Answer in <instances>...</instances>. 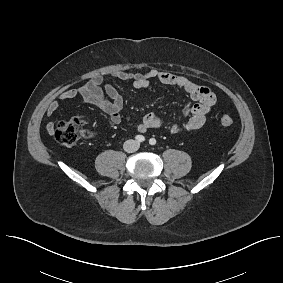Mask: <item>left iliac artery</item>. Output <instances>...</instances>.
<instances>
[{
	"instance_id": "1",
	"label": "left iliac artery",
	"mask_w": 283,
	"mask_h": 283,
	"mask_svg": "<svg viewBox=\"0 0 283 283\" xmlns=\"http://www.w3.org/2000/svg\"><path fill=\"white\" fill-rule=\"evenodd\" d=\"M149 144H150V145H155V144H156V140H155L154 138H151V139L149 140Z\"/></svg>"
}]
</instances>
